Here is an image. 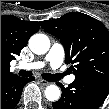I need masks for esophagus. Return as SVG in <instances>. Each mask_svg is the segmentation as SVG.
<instances>
[{
	"mask_svg": "<svg viewBox=\"0 0 109 109\" xmlns=\"http://www.w3.org/2000/svg\"><path fill=\"white\" fill-rule=\"evenodd\" d=\"M40 82H41L42 85H44V86H48V85L51 84L50 82H48V81H46V80H43V79H40Z\"/></svg>",
	"mask_w": 109,
	"mask_h": 109,
	"instance_id": "1",
	"label": "esophagus"
}]
</instances>
